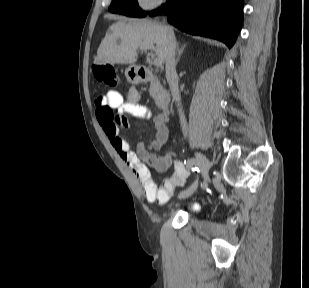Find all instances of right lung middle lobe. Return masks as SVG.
Masks as SVG:
<instances>
[{
  "label": "right lung middle lobe",
  "mask_w": 309,
  "mask_h": 288,
  "mask_svg": "<svg viewBox=\"0 0 309 288\" xmlns=\"http://www.w3.org/2000/svg\"><path fill=\"white\" fill-rule=\"evenodd\" d=\"M109 11L130 17H144L147 14L138 7L137 0H113Z\"/></svg>",
  "instance_id": "dd1d6c3e"
}]
</instances>
